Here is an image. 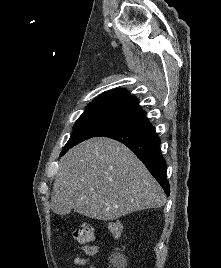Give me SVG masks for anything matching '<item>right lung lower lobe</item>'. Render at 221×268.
I'll use <instances>...</instances> for the list:
<instances>
[{
    "instance_id": "obj_1",
    "label": "right lung lower lobe",
    "mask_w": 221,
    "mask_h": 268,
    "mask_svg": "<svg viewBox=\"0 0 221 268\" xmlns=\"http://www.w3.org/2000/svg\"><path fill=\"white\" fill-rule=\"evenodd\" d=\"M96 136L110 137L130 148L159 182L166 194H170V186L166 178V161L159 148L160 139L145 116L121 123Z\"/></svg>"
}]
</instances>
